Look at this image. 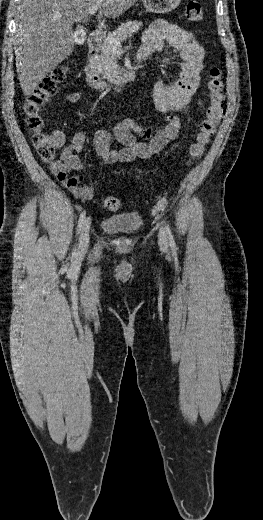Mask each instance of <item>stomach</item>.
<instances>
[{"mask_svg":"<svg viewBox=\"0 0 263 520\" xmlns=\"http://www.w3.org/2000/svg\"><path fill=\"white\" fill-rule=\"evenodd\" d=\"M143 5L148 12L151 13H168L174 10L181 0H142Z\"/></svg>","mask_w":263,"mask_h":520,"instance_id":"stomach-1","label":"stomach"}]
</instances>
